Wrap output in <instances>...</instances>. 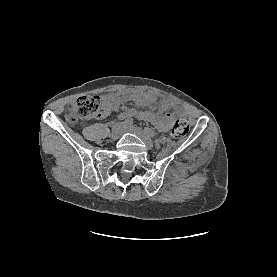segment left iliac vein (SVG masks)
I'll return each mask as SVG.
<instances>
[{
    "label": "left iliac vein",
    "mask_w": 277,
    "mask_h": 277,
    "mask_svg": "<svg viewBox=\"0 0 277 277\" xmlns=\"http://www.w3.org/2000/svg\"><path fill=\"white\" fill-rule=\"evenodd\" d=\"M124 132H126V133H132V134L138 136L145 143V145H146L148 150H152L153 149L154 143L151 140V138L143 130H141L137 126H135V125H129V126L126 125L124 127Z\"/></svg>",
    "instance_id": "obj_1"
}]
</instances>
